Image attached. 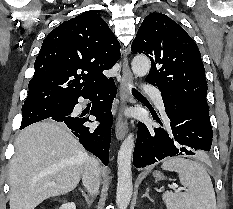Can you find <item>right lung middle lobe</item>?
<instances>
[{
	"label": "right lung middle lobe",
	"mask_w": 233,
	"mask_h": 209,
	"mask_svg": "<svg viewBox=\"0 0 233 209\" xmlns=\"http://www.w3.org/2000/svg\"><path fill=\"white\" fill-rule=\"evenodd\" d=\"M72 100L42 101L24 103L22 106L21 127L45 120L53 115L62 114L69 109Z\"/></svg>",
	"instance_id": "obj_1"
}]
</instances>
